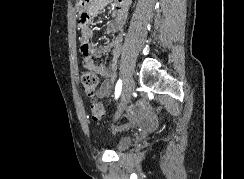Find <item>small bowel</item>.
I'll list each match as a JSON object with an SVG mask.
<instances>
[{"label":"small bowel","mask_w":244,"mask_h":179,"mask_svg":"<svg viewBox=\"0 0 244 179\" xmlns=\"http://www.w3.org/2000/svg\"><path fill=\"white\" fill-rule=\"evenodd\" d=\"M87 4L89 5V8L85 9L86 17L78 18V26L80 30V51L84 66L103 78V82L98 90V96L100 98H105L111 93L114 85L128 9L127 4L122 1H115L111 3L109 0H93L92 3ZM111 4L113 8V19L107 25L106 33L113 34L114 38L108 44L92 46L90 44V39L93 36V30L91 29L92 19L99 13L103 12ZM108 52L111 53V60L109 63L96 61L97 58ZM155 120L156 117L149 116L147 109L136 110V116H130V121H136L141 125L145 124V126H158V121Z\"/></svg>","instance_id":"small-bowel-1"}]
</instances>
